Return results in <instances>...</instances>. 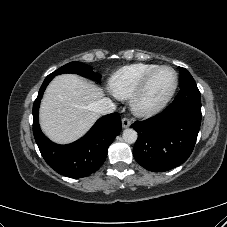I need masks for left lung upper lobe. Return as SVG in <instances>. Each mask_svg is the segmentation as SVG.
Masks as SVG:
<instances>
[{
	"label": "left lung upper lobe",
	"instance_id": "5c2ea615",
	"mask_svg": "<svg viewBox=\"0 0 227 227\" xmlns=\"http://www.w3.org/2000/svg\"><path fill=\"white\" fill-rule=\"evenodd\" d=\"M179 70L181 74V86L187 85L189 83H195V80L185 68L179 67Z\"/></svg>",
	"mask_w": 227,
	"mask_h": 227
}]
</instances>
